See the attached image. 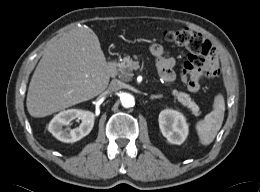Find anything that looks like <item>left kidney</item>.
<instances>
[{"label": "left kidney", "mask_w": 260, "mask_h": 192, "mask_svg": "<svg viewBox=\"0 0 260 192\" xmlns=\"http://www.w3.org/2000/svg\"><path fill=\"white\" fill-rule=\"evenodd\" d=\"M159 127L163 136L172 144H182L188 135L186 119L178 111L165 109L159 114Z\"/></svg>", "instance_id": "obj_1"}]
</instances>
